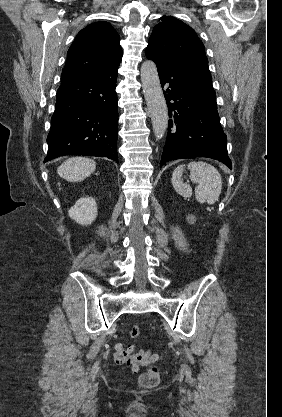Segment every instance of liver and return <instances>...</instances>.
I'll return each instance as SVG.
<instances>
[{
    "instance_id": "6515ba94",
    "label": "liver",
    "mask_w": 282,
    "mask_h": 417,
    "mask_svg": "<svg viewBox=\"0 0 282 417\" xmlns=\"http://www.w3.org/2000/svg\"><path fill=\"white\" fill-rule=\"evenodd\" d=\"M96 164L91 158H85V156H73V158H67L57 168L58 174L66 180L71 182H79L84 180L86 176H90L91 172H94Z\"/></svg>"
}]
</instances>
